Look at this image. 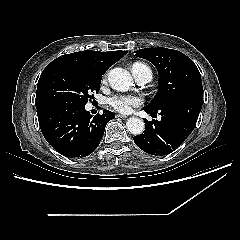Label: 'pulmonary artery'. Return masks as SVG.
Segmentation results:
<instances>
[{"label": "pulmonary artery", "mask_w": 240, "mask_h": 240, "mask_svg": "<svg viewBox=\"0 0 240 240\" xmlns=\"http://www.w3.org/2000/svg\"><path fill=\"white\" fill-rule=\"evenodd\" d=\"M132 73L134 74L137 82L139 84H146L151 81L152 79V74L150 70L146 68H134L132 70Z\"/></svg>", "instance_id": "e3ab8cb5"}]
</instances>
